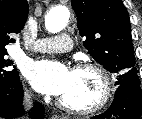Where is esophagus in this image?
Returning a JSON list of instances; mask_svg holds the SVG:
<instances>
[{"label":"esophagus","instance_id":"esophagus-1","mask_svg":"<svg viewBox=\"0 0 142 119\" xmlns=\"http://www.w3.org/2000/svg\"><path fill=\"white\" fill-rule=\"evenodd\" d=\"M52 118H53V119H58V117H57L56 115H55V116H53Z\"/></svg>","mask_w":142,"mask_h":119}]
</instances>
